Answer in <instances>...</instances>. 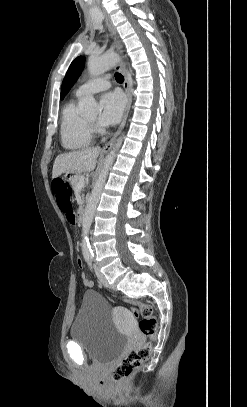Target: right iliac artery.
Listing matches in <instances>:
<instances>
[{
    "label": "right iliac artery",
    "mask_w": 247,
    "mask_h": 407,
    "mask_svg": "<svg viewBox=\"0 0 247 407\" xmlns=\"http://www.w3.org/2000/svg\"><path fill=\"white\" fill-rule=\"evenodd\" d=\"M86 261H87V263H88L90 269L92 270V269H93V266H92V263H91V259H90V258H86Z\"/></svg>",
    "instance_id": "obj_1"
}]
</instances>
